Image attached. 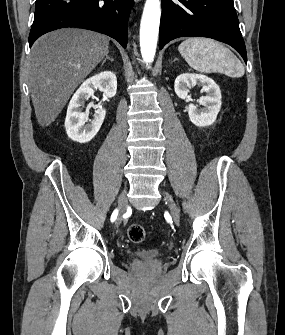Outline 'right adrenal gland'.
<instances>
[{
  "label": "right adrenal gland",
  "instance_id": "right-adrenal-gland-1",
  "mask_svg": "<svg viewBox=\"0 0 285 335\" xmlns=\"http://www.w3.org/2000/svg\"><path fill=\"white\" fill-rule=\"evenodd\" d=\"M107 60H110V62H114L113 58H109V56H106L105 60H103L101 66H104L106 64Z\"/></svg>",
  "mask_w": 285,
  "mask_h": 335
}]
</instances>
